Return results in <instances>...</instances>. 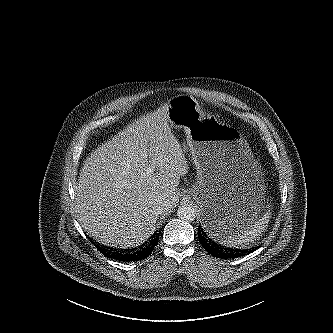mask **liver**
<instances>
[{"label": "liver", "mask_w": 333, "mask_h": 333, "mask_svg": "<svg viewBox=\"0 0 333 333\" xmlns=\"http://www.w3.org/2000/svg\"><path fill=\"white\" fill-rule=\"evenodd\" d=\"M187 173L165 105L129 125L86 159L75 190L77 220L102 243L137 246L153 235L159 202L166 204L164 213L176 206L179 180Z\"/></svg>", "instance_id": "liver-1"}]
</instances>
